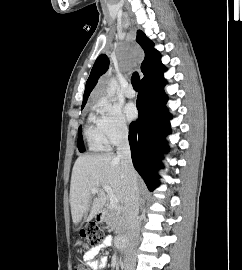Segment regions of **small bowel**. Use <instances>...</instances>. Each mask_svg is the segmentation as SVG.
Wrapping results in <instances>:
<instances>
[{
	"mask_svg": "<svg viewBox=\"0 0 242 270\" xmlns=\"http://www.w3.org/2000/svg\"><path fill=\"white\" fill-rule=\"evenodd\" d=\"M111 243L110 239H106L102 244L93 247L84 254V260L93 265L97 270H103L106 266L107 260L105 257L96 258L97 253L102 248L108 246Z\"/></svg>",
	"mask_w": 242,
	"mask_h": 270,
	"instance_id": "small-bowel-1",
	"label": "small bowel"
}]
</instances>
